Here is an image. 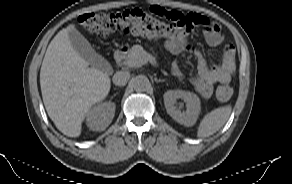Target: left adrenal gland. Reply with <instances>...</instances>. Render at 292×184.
Wrapping results in <instances>:
<instances>
[{"mask_svg": "<svg viewBox=\"0 0 292 184\" xmlns=\"http://www.w3.org/2000/svg\"><path fill=\"white\" fill-rule=\"evenodd\" d=\"M164 81H166V80H165V79H156V78H155V82H156V83L164 82Z\"/></svg>", "mask_w": 292, "mask_h": 184, "instance_id": "1", "label": "left adrenal gland"}]
</instances>
